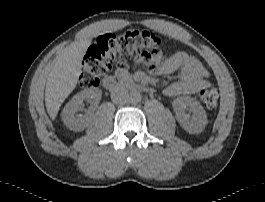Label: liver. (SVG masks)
Masks as SVG:
<instances>
[{"label":"liver","instance_id":"6515ba94","mask_svg":"<svg viewBox=\"0 0 265 202\" xmlns=\"http://www.w3.org/2000/svg\"><path fill=\"white\" fill-rule=\"evenodd\" d=\"M90 44L89 39L74 42L56 57L45 89V105L52 120L57 117L65 99L76 88L82 72V58Z\"/></svg>","mask_w":265,"mask_h":202}]
</instances>
